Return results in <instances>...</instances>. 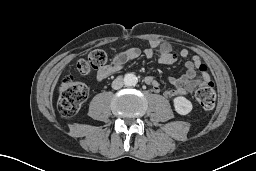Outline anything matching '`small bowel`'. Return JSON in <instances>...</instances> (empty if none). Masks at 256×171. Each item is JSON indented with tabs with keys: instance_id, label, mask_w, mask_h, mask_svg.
I'll return each mask as SVG.
<instances>
[{
	"instance_id": "obj_1",
	"label": "small bowel",
	"mask_w": 256,
	"mask_h": 171,
	"mask_svg": "<svg viewBox=\"0 0 256 171\" xmlns=\"http://www.w3.org/2000/svg\"><path fill=\"white\" fill-rule=\"evenodd\" d=\"M140 55L138 48H130L124 52H121L115 56L109 63L100 67L96 74V81L101 83L111 74L121 70L125 65L132 62ZM145 55L148 58H152L155 55L158 56L159 63L164 66L173 64L177 57L173 53L171 44L167 42H161L157 39H153L149 42L148 48L145 50ZM180 57L188 58L189 50L182 49L179 53ZM202 62L200 57L194 55L190 60L185 63L184 73L179 77H172L169 79V88L164 91L166 98H172L177 95L192 94L197 88L205 85L209 81V75L206 71L201 70ZM148 86L159 91L160 83L152 76L145 79Z\"/></svg>"
}]
</instances>
